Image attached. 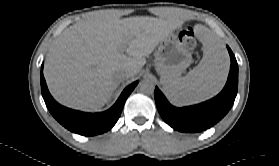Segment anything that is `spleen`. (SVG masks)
Instances as JSON below:
<instances>
[{"label":"spleen","instance_id":"obj_1","mask_svg":"<svg viewBox=\"0 0 279 166\" xmlns=\"http://www.w3.org/2000/svg\"><path fill=\"white\" fill-rule=\"evenodd\" d=\"M203 58L185 77L161 80L164 89L180 103H197L216 95L223 88L229 58L220 40L207 28L198 32Z\"/></svg>","mask_w":279,"mask_h":166}]
</instances>
